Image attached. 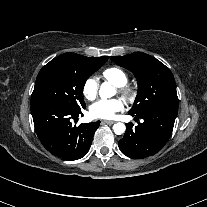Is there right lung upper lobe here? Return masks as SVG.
<instances>
[{"label":"right lung upper lobe","mask_w":207,"mask_h":207,"mask_svg":"<svg viewBox=\"0 0 207 207\" xmlns=\"http://www.w3.org/2000/svg\"><path fill=\"white\" fill-rule=\"evenodd\" d=\"M98 58H107V59H108V57H106V56H103V57H98Z\"/></svg>","instance_id":"1"}]
</instances>
